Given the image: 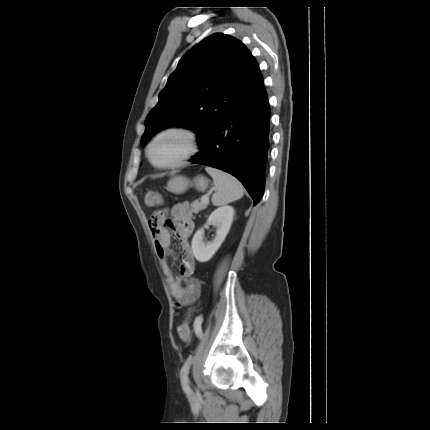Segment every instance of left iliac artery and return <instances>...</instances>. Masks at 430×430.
I'll return each mask as SVG.
<instances>
[{
	"mask_svg": "<svg viewBox=\"0 0 430 430\" xmlns=\"http://www.w3.org/2000/svg\"><path fill=\"white\" fill-rule=\"evenodd\" d=\"M203 316L202 315H197L196 316V321L194 323V332L195 334H197L199 337L202 336L204 329H203ZM192 362V358L189 357L187 359V361L184 363L183 367L181 368V380L183 384H188V372H189V368H190V364Z\"/></svg>",
	"mask_w": 430,
	"mask_h": 430,
	"instance_id": "obj_1",
	"label": "left iliac artery"
}]
</instances>
